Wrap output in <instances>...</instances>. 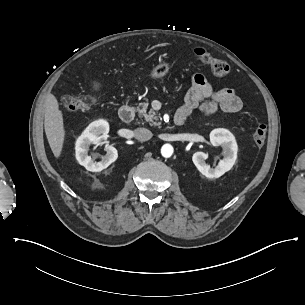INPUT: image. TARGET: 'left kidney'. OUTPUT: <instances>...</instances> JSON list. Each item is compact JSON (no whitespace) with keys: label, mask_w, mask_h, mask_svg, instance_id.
Here are the masks:
<instances>
[{"label":"left kidney","mask_w":305,"mask_h":305,"mask_svg":"<svg viewBox=\"0 0 305 305\" xmlns=\"http://www.w3.org/2000/svg\"><path fill=\"white\" fill-rule=\"evenodd\" d=\"M210 142L212 146H221L225 150V157L217 164L216 168L206 166L205 159L208 154L197 151L192 156V161L198 171L209 179L219 178L229 172L237 157V145L233 135L225 129H217L211 132Z\"/></svg>","instance_id":"left-kidney-1"}]
</instances>
